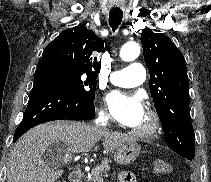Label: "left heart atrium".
Listing matches in <instances>:
<instances>
[{"mask_svg": "<svg viewBox=\"0 0 211 182\" xmlns=\"http://www.w3.org/2000/svg\"><path fill=\"white\" fill-rule=\"evenodd\" d=\"M106 101L112 116L125 126H137L145 115L142 101L137 95L112 91Z\"/></svg>", "mask_w": 211, "mask_h": 182, "instance_id": "39dd6f15", "label": "left heart atrium"}]
</instances>
